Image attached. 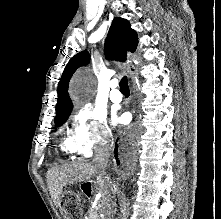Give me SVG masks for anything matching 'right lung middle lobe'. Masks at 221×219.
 <instances>
[{
    "mask_svg": "<svg viewBox=\"0 0 221 219\" xmlns=\"http://www.w3.org/2000/svg\"><path fill=\"white\" fill-rule=\"evenodd\" d=\"M70 112H71V109L69 111H67L65 114L55 117L54 121H55L56 125L57 126L62 125L68 119Z\"/></svg>",
    "mask_w": 221,
    "mask_h": 219,
    "instance_id": "dd1d6c3e",
    "label": "right lung middle lobe"
}]
</instances>
